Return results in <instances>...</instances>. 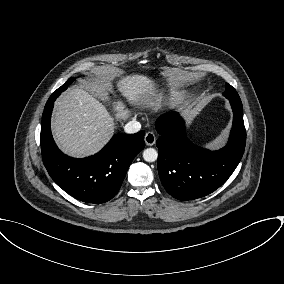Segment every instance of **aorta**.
I'll list each match as a JSON object with an SVG mask.
<instances>
[{
	"label": "aorta",
	"instance_id": "1",
	"mask_svg": "<svg viewBox=\"0 0 284 284\" xmlns=\"http://www.w3.org/2000/svg\"><path fill=\"white\" fill-rule=\"evenodd\" d=\"M158 158V152L154 148H147L143 152V159L146 162H155Z\"/></svg>",
	"mask_w": 284,
	"mask_h": 284
}]
</instances>
